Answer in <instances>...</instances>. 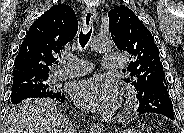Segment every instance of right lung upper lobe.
<instances>
[{
	"label": "right lung upper lobe",
	"instance_id": "1",
	"mask_svg": "<svg viewBox=\"0 0 184 133\" xmlns=\"http://www.w3.org/2000/svg\"><path fill=\"white\" fill-rule=\"evenodd\" d=\"M78 30L74 10L65 4L52 6L31 26L16 56L13 76L18 74L49 75L64 46Z\"/></svg>",
	"mask_w": 184,
	"mask_h": 133
}]
</instances>
